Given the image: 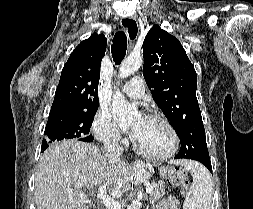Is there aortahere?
Listing matches in <instances>:
<instances>
[{"instance_id": "762f6f07", "label": "aorta", "mask_w": 253, "mask_h": 209, "mask_svg": "<svg viewBox=\"0 0 253 209\" xmlns=\"http://www.w3.org/2000/svg\"><path fill=\"white\" fill-rule=\"evenodd\" d=\"M143 64L141 56H128L119 67V78L124 79L140 69ZM111 112L121 128L128 127L137 117L138 110L133 104H129L120 91H116L111 104ZM129 209H141L139 201H133Z\"/></svg>"}]
</instances>
